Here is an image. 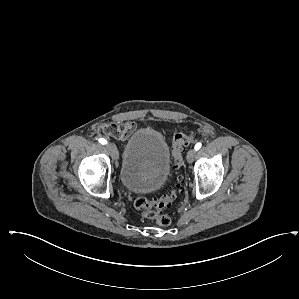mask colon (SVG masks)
<instances>
[{"label":"colon","instance_id":"obj_1","mask_svg":"<svg viewBox=\"0 0 299 299\" xmlns=\"http://www.w3.org/2000/svg\"><path fill=\"white\" fill-rule=\"evenodd\" d=\"M195 132L188 134H176L172 141V155L174 159V168L179 169L182 165V152L184 147L191 145L195 141ZM180 181V178H178ZM179 185L176 189H172L169 193L157 198L147 199L139 197L135 200V208L146 218L154 220L160 226H168L171 218L162 211L169 208L176 200L179 194Z\"/></svg>","mask_w":299,"mask_h":299}]
</instances>
